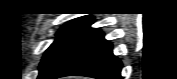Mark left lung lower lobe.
Segmentation results:
<instances>
[{"label":"left lung lower lobe","mask_w":177,"mask_h":79,"mask_svg":"<svg viewBox=\"0 0 177 79\" xmlns=\"http://www.w3.org/2000/svg\"><path fill=\"white\" fill-rule=\"evenodd\" d=\"M112 45L99 29L82 38L69 51L49 79L64 76H88L98 79H121L122 64L111 51Z\"/></svg>","instance_id":"obj_1"}]
</instances>
